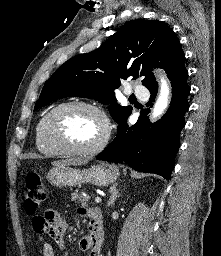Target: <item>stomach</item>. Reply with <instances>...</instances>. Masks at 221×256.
<instances>
[{
	"label": "stomach",
	"mask_w": 221,
	"mask_h": 256,
	"mask_svg": "<svg viewBox=\"0 0 221 256\" xmlns=\"http://www.w3.org/2000/svg\"><path fill=\"white\" fill-rule=\"evenodd\" d=\"M47 180L53 186H76L89 183L106 187L116 181L118 169L115 166L94 165L89 169H76L70 165L55 166L47 173Z\"/></svg>",
	"instance_id": "stomach-1"
}]
</instances>
